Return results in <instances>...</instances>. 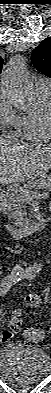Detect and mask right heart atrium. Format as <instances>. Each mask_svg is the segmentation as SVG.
Listing matches in <instances>:
<instances>
[{"label":"right heart atrium","mask_w":51,"mask_h":393,"mask_svg":"<svg viewBox=\"0 0 51 393\" xmlns=\"http://www.w3.org/2000/svg\"><path fill=\"white\" fill-rule=\"evenodd\" d=\"M21 117L13 110L7 99L0 101V128L3 132L19 135Z\"/></svg>","instance_id":"obj_1"}]
</instances>
